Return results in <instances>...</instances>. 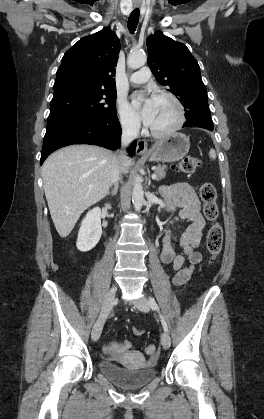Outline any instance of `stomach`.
I'll return each instance as SVG.
<instances>
[{"label": "stomach", "instance_id": "0dacf381", "mask_svg": "<svg viewBox=\"0 0 264 419\" xmlns=\"http://www.w3.org/2000/svg\"><path fill=\"white\" fill-rule=\"evenodd\" d=\"M189 138L183 133H173L168 138L156 142L147 154L150 161L176 162L189 151Z\"/></svg>", "mask_w": 264, "mask_h": 419}]
</instances>
